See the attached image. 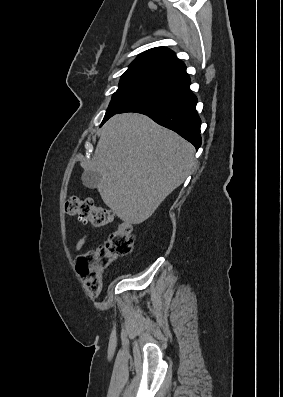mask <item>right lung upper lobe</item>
Instances as JSON below:
<instances>
[{
	"label": "right lung upper lobe",
	"mask_w": 283,
	"mask_h": 397,
	"mask_svg": "<svg viewBox=\"0 0 283 397\" xmlns=\"http://www.w3.org/2000/svg\"><path fill=\"white\" fill-rule=\"evenodd\" d=\"M128 73H143L150 78L166 81L169 85L189 77L185 64L165 47L141 53L124 74Z\"/></svg>",
	"instance_id": "obj_1"
}]
</instances>
